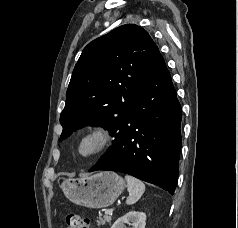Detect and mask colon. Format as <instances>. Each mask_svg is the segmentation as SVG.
<instances>
[{"mask_svg": "<svg viewBox=\"0 0 238 228\" xmlns=\"http://www.w3.org/2000/svg\"><path fill=\"white\" fill-rule=\"evenodd\" d=\"M67 228H92L88 218L78 213H68L64 216Z\"/></svg>", "mask_w": 238, "mask_h": 228, "instance_id": "obj_1", "label": "colon"}]
</instances>
